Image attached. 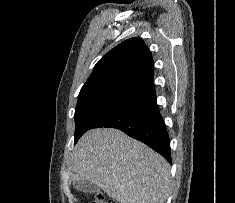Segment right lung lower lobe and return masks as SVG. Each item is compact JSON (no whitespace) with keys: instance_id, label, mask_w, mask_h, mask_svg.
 I'll list each match as a JSON object with an SVG mask.
<instances>
[{"instance_id":"obj_1","label":"right lung lower lobe","mask_w":235,"mask_h":203,"mask_svg":"<svg viewBox=\"0 0 235 203\" xmlns=\"http://www.w3.org/2000/svg\"><path fill=\"white\" fill-rule=\"evenodd\" d=\"M116 128L161 154L170 164V142L156 103L154 86L140 98L107 115L93 128Z\"/></svg>"}]
</instances>
